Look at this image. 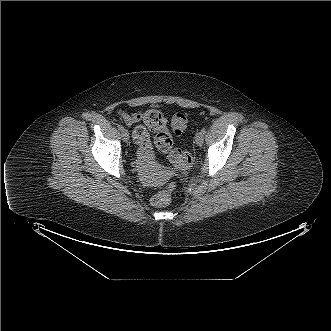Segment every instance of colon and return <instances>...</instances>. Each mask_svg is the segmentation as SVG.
Listing matches in <instances>:
<instances>
[{
	"label": "colon",
	"mask_w": 331,
	"mask_h": 331,
	"mask_svg": "<svg viewBox=\"0 0 331 331\" xmlns=\"http://www.w3.org/2000/svg\"><path fill=\"white\" fill-rule=\"evenodd\" d=\"M143 123L145 126H138L135 129L139 137H146L147 128L154 134V142L157 149L162 153H168L170 161L177 167H187L192 163V156L188 151L174 149L173 140L169 131L166 129L165 118L160 111L148 109L143 112ZM188 125V115L186 113H177L171 118V127L175 135H181ZM172 198V186H168L155 194L152 199V205L156 207L166 206Z\"/></svg>",
	"instance_id": "1"
}]
</instances>
